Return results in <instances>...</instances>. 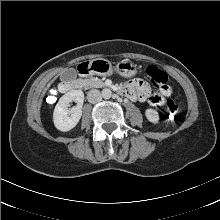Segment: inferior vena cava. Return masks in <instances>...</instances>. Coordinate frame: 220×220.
<instances>
[{"instance_id": "1", "label": "inferior vena cava", "mask_w": 220, "mask_h": 220, "mask_svg": "<svg viewBox=\"0 0 220 220\" xmlns=\"http://www.w3.org/2000/svg\"><path fill=\"white\" fill-rule=\"evenodd\" d=\"M87 99L90 103H98L102 100V94L97 89H92L87 94Z\"/></svg>"}]
</instances>
